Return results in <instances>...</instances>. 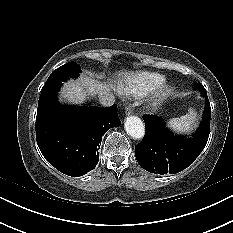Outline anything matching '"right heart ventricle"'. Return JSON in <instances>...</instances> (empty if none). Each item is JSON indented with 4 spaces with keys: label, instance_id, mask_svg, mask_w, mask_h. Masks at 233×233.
<instances>
[{
    "label": "right heart ventricle",
    "instance_id": "right-heart-ventricle-1",
    "mask_svg": "<svg viewBox=\"0 0 233 233\" xmlns=\"http://www.w3.org/2000/svg\"><path fill=\"white\" fill-rule=\"evenodd\" d=\"M165 81L161 74L141 72L133 75L127 82L120 86V92L134 97H143Z\"/></svg>",
    "mask_w": 233,
    "mask_h": 233
}]
</instances>
